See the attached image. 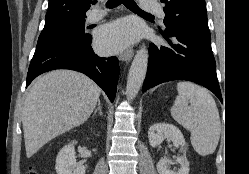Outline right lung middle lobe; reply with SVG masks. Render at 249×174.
I'll use <instances>...</instances> for the list:
<instances>
[{
	"label": "right lung middle lobe",
	"mask_w": 249,
	"mask_h": 174,
	"mask_svg": "<svg viewBox=\"0 0 249 174\" xmlns=\"http://www.w3.org/2000/svg\"><path fill=\"white\" fill-rule=\"evenodd\" d=\"M90 37L85 33V19L63 21L45 26L39 36L36 48L65 40H86Z\"/></svg>",
	"instance_id": "dd1d6c3e"
}]
</instances>
